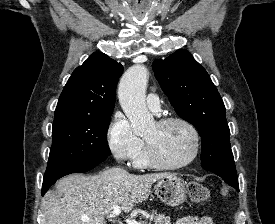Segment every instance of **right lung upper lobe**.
Returning <instances> with one entry per match:
<instances>
[{"instance_id": "obj_1", "label": "right lung upper lobe", "mask_w": 275, "mask_h": 224, "mask_svg": "<svg viewBox=\"0 0 275 224\" xmlns=\"http://www.w3.org/2000/svg\"><path fill=\"white\" fill-rule=\"evenodd\" d=\"M122 72L123 66L108 55L93 53L74 70L66 83L58 100L55 119L112 114Z\"/></svg>"}]
</instances>
